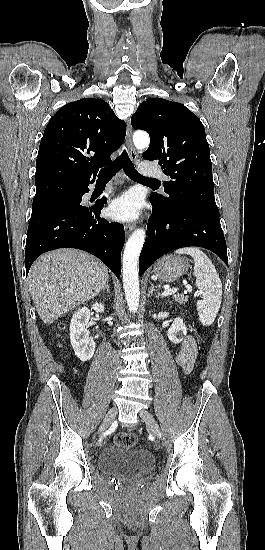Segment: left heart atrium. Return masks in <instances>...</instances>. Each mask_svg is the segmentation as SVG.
Returning <instances> with one entry per match:
<instances>
[{
    "mask_svg": "<svg viewBox=\"0 0 265 550\" xmlns=\"http://www.w3.org/2000/svg\"><path fill=\"white\" fill-rule=\"evenodd\" d=\"M141 200L133 192H127L113 200L108 207L111 218L119 221H133L140 215Z\"/></svg>",
    "mask_w": 265,
    "mask_h": 550,
    "instance_id": "1",
    "label": "left heart atrium"
}]
</instances>
